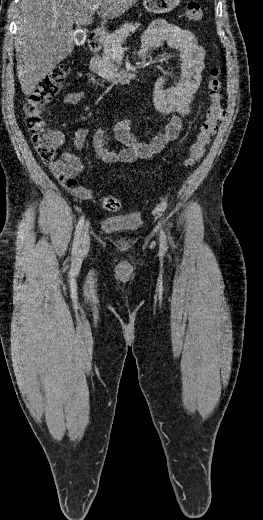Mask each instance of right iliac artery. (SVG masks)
Segmentation results:
<instances>
[{"label": "right iliac artery", "instance_id": "82829eb1", "mask_svg": "<svg viewBox=\"0 0 263 520\" xmlns=\"http://www.w3.org/2000/svg\"><path fill=\"white\" fill-rule=\"evenodd\" d=\"M83 224H84V216H81V218L79 219V222H78V224L76 226L74 242H73V248H72L73 254H76V252L78 250L79 237H80V234H81V231H82Z\"/></svg>", "mask_w": 263, "mask_h": 520}]
</instances>
